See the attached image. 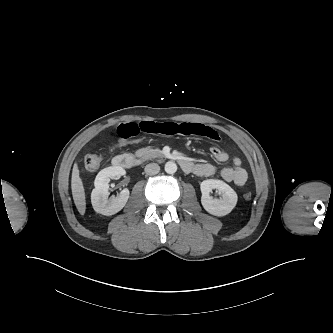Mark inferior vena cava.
I'll list each match as a JSON object with an SVG mask.
<instances>
[{
  "mask_svg": "<svg viewBox=\"0 0 333 333\" xmlns=\"http://www.w3.org/2000/svg\"><path fill=\"white\" fill-rule=\"evenodd\" d=\"M144 170L147 175H155L159 173L160 166L157 163H149L145 166Z\"/></svg>",
  "mask_w": 333,
  "mask_h": 333,
  "instance_id": "1",
  "label": "inferior vena cava"
}]
</instances>
